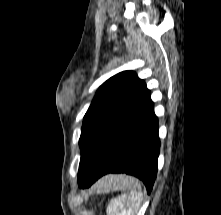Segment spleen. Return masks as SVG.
I'll return each mask as SVG.
<instances>
[{"label":"spleen","instance_id":"1","mask_svg":"<svg viewBox=\"0 0 221 215\" xmlns=\"http://www.w3.org/2000/svg\"><path fill=\"white\" fill-rule=\"evenodd\" d=\"M109 188L129 189V194H121L111 200L107 207L108 215H134L143 200V192L140 184L133 178L127 176H110Z\"/></svg>","mask_w":221,"mask_h":215}]
</instances>
